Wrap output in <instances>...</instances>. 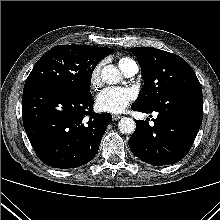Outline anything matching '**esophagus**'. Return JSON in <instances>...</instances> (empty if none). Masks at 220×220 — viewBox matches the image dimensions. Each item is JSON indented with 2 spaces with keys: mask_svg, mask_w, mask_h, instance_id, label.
Returning a JSON list of instances; mask_svg holds the SVG:
<instances>
[{
  "mask_svg": "<svg viewBox=\"0 0 220 220\" xmlns=\"http://www.w3.org/2000/svg\"><path fill=\"white\" fill-rule=\"evenodd\" d=\"M121 117H122V116L117 115V114L112 115V118H113V120H115V121L119 120Z\"/></svg>",
  "mask_w": 220,
  "mask_h": 220,
  "instance_id": "1",
  "label": "esophagus"
}]
</instances>
